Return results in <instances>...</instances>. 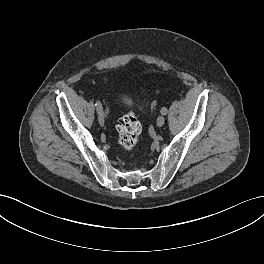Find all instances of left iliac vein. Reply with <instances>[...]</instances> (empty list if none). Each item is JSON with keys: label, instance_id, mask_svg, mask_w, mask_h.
<instances>
[{"label": "left iliac vein", "instance_id": "obj_1", "mask_svg": "<svg viewBox=\"0 0 264 264\" xmlns=\"http://www.w3.org/2000/svg\"><path fill=\"white\" fill-rule=\"evenodd\" d=\"M164 122H165V118L164 116L160 115L158 118H157V126L158 127H162L164 125Z\"/></svg>", "mask_w": 264, "mask_h": 264}]
</instances>
